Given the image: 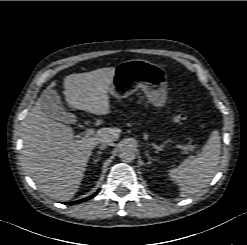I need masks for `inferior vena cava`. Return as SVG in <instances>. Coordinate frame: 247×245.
<instances>
[{"mask_svg":"<svg viewBox=\"0 0 247 245\" xmlns=\"http://www.w3.org/2000/svg\"><path fill=\"white\" fill-rule=\"evenodd\" d=\"M101 147H106L108 145H113L112 141L110 139H103L100 141Z\"/></svg>","mask_w":247,"mask_h":245,"instance_id":"obj_1","label":"inferior vena cava"}]
</instances>
